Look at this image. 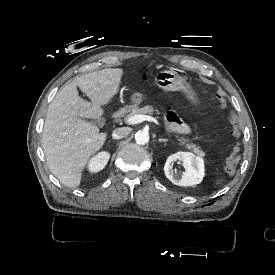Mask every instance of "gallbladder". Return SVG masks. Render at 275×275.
Listing matches in <instances>:
<instances>
[{
    "instance_id": "gallbladder-1",
    "label": "gallbladder",
    "mask_w": 275,
    "mask_h": 275,
    "mask_svg": "<svg viewBox=\"0 0 275 275\" xmlns=\"http://www.w3.org/2000/svg\"><path fill=\"white\" fill-rule=\"evenodd\" d=\"M84 120L90 121V122H92L94 124H97L99 127H103V125L105 123V120L103 118H101V119H86L85 118Z\"/></svg>"
}]
</instances>
